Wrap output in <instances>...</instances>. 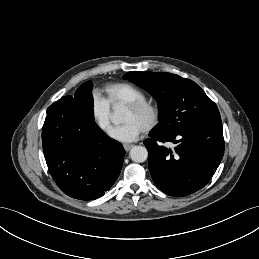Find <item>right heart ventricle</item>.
Returning a JSON list of instances; mask_svg holds the SVG:
<instances>
[{"mask_svg":"<svg viewBox=\"0 0 259 259\" xmlns=\"http://www.w3.org/2000/svg\"><path fill=\"white\" fill-rule=\"evenodd\" d=\"M106 100L113 108L125 106L135 101L146 100V94L139 88L124 82H116L103 88Z\"/></svg>","mask_w":259,"mask_h":259,"instance_id":"obj_1","label":"right heart ventricle"}]
</instances>
